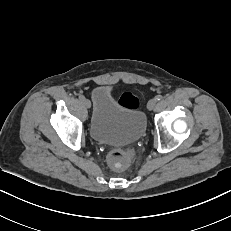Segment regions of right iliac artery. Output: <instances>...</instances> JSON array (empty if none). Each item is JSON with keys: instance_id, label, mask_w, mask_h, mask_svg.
Here are the masks:
<instances>
[{"instance_id": "82829eb1", "label": "right iliac artery", "mask_w": 231, "mask_h": 231, "mask_svg": "<svg viewBox=\"0 0 231 231\" xmlns=\"http://www.w3.org/2000/svg\"><path fill=\"white\" fill-rule=\"evenodd\" d=\"M78 98H79L80 100H84V99H85V97H84L83 95H79Z\"/></svg>"}]
</instances>
